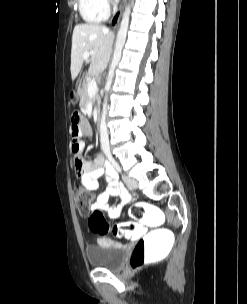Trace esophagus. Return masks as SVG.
I'll use <instances>...</instances> for the list:
<instances>
[{
	"label": "esophagus",
	"instance_id": "esophagus-1",
	"mask_svg": "<svg viewBox=\"0 0 247 304\" xmlns=\"http://www.w3.org/2000/svg\"><path fill=\"white\" fill-rule=\"evenodd\" d=\"M126 3H127V0H122V3L120 5L119 9L117 10V12L114 14V16L111 19V27L113 30H116L118 27V24H119V21H120V18H121V15L123 13Z\"/></svg>",
	"mask_w": 247,
	"mask_h": 304
}]
</instances>
